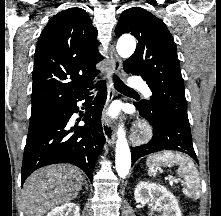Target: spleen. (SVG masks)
Here are the masks:
<instances>
[{
	"instance_id": "3e777b00",
	"label": "spleen",
	"mask_w": 221,
	"mask_h": 216,
	"mask_svg": "<svg viewBox=\"0 0 221 216\" xmlns=\"http://www.w3.org/2000/svg\"><path fill=\"white\" fill-rule=\"evenodd\" d=\"M149 175L155 176L161 166L172 167L178 165V174L184 178L183 193L188 197L198 198L200 195V178L193 161L184 155L172 151H163L150 155L146 161Z\"/></svg>"
}]
</instances>
